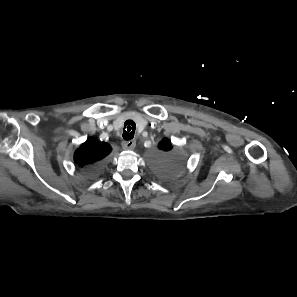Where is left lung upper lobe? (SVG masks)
Instances as JSON below:
<instances>
[{
	"mask_svg": "<svg viewBox=\"0 0 297 297\" xmlns=\"http://www.w3.org/2000/svg\"><path fill=\"white\" fill-rule=\"evenodd\" d=\"M159 146V149L163 152L161 154L154 155L151 158L152 164L157 170L163 172L165 175H171L177 168L179 159L176 156L168 153V151L172 149V144L168 139L164 138L159 143Z\"/></svg>",
	"mask_w": 297,
	"mask_h": 297,
	"instance_id": "1",
	"label": "left lung upper lobe"
}]
</instances>
